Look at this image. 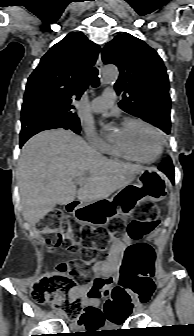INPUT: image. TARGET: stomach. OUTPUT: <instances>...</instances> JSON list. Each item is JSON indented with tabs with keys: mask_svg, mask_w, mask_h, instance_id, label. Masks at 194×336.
<instances>
[{
	"mask_svg": "<svg viewBox=\"0 0 194 336\" xmlns=\"http://www.w3.org/2000/svg\"><path fill=\"white\" fill-rule=\"evenodd\" d=\"M166 195L165 177L153 167H144L138 173L136 184L122 188L111 199L76 207L73 216L81 224L104 226L119 214L133 212L140 203L146 200L158 202Z\"/></svg>",
	"mask_w": 194,
	"mask_h": 336,
	"instance_id": "stomach-1",
	"label": "stomach"
}]
</instances>
